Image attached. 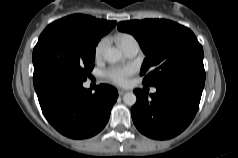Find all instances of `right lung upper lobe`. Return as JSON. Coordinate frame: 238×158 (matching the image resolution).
Masks as SVG:
<instances>
[{"label":"right lung upper lobe","mask_w":238,"mask_h":158,"mask_svg":"<svg viewBox=\"0 0 238 158\" xmlns=\"http://www.w3.org/2000/svg\"><path fill=\"white\" fill-rule=\"evenodd\" d=\"M55 22L80 26L99 37L107 34L116 25V21L100 20L82 14L70 15Z\"/></svg>","instance_id":"right-lung-upper-lobe-1"}]
</instances>
